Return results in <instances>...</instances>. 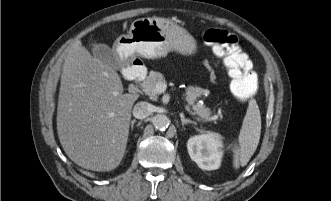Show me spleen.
<instances>
[{"label":"spleen","mask_w":331,"mask_h":201,"mask_svg":"<svg viewBox=\"0 0 331 201\" xmlns=\"http://www.w3.org/2000/svg\"><path fill=\"white\" fill-rule=\"evenodd\" d=\"M261 134V116L255 100H250L242 128L239 133V147L234 148V168L245 166L257 149Z\"/></svg>","instance_id":"1"}]
</instances>
